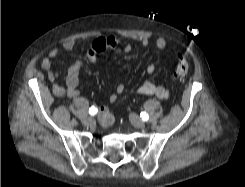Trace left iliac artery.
Listing matches in <instances>:
<instances>
[{"label":"left iliac artery","instance_id":"1","mask_svg":"<svg viewBox=\"0 0 245 187\" xmlns=\"http://www.w3.org/2000/svg\"><path fill=\"white\" fill-rule=\"evenodd\" d=\"M140 117L142 118L143 121H147L149 119V116L146 112H142L140 114Z\"/></svg>","mask_w":245,"mask_h":187}]
</instances>
